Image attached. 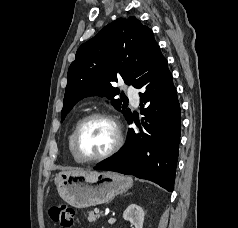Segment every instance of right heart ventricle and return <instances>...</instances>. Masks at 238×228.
<instances>
[{
  "instance_id": "e07e8e85",
  "label": "right heart ventricle",
  "mask_w": 238,
  "mask_h": 228,
  "mask_svg": "<svg viewBox=\"0 0 238 228\" xmlns=\"http://www.w3.org/2000/svg\"><path fill=\"white\" fill-rule=\"evenodd\" d=\"M80 119H76L71 127V130L69 132V135H68V139H67V144H68V149L73 157V159L77 162V163H80L74 156L73 154V150H72V142H73V135H74V132H75V129L79 123Z\"/></svg>"
}]
</instances>
